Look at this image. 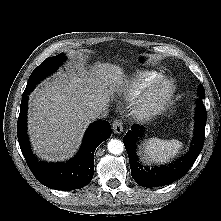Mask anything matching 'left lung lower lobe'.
Here are the masks:
<instances>
[{
    "label": "left lung lower lobe",
    "mask_w": 221,
    "mask_h": 221,
    "mask_svg": "<svg viewBox=\"0 0 221 221\" xmlns=\"http://www.w3.org/2000/svg\"><path fill=\"white\" fill-rule=\"evenodd\" d=\"M197 102L193 145L186 155L172 164L150 168L144 167L138 162L135 151L136 142L143 131L142 126L133 124L131 130L124 136L123 142L128 153L131 174L139 185L143 187H158L170 184L184 176L194 164L204 144L205 125L207 120V113L202 99H198Z\"/></svg>",
    "instance_id": "left-lung-lower-lobe-1"
}]
</instances>
